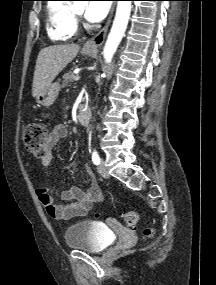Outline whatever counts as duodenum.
<instances>
[{"label":"duodenum","instance_id":"obj_1","mask_svg":"<svg viewBox=\"0 0 216 285\" xmlns=\"http://www.w3.org/2000/svg\"><path fill=\"white\" fill-rule=\"evenodd\" d=\"M78 119L82 125H88L91 120V111L88 108H82L78 113Z\"/></svg>","mask_w":216,"mask_h":285}]
</instances>
